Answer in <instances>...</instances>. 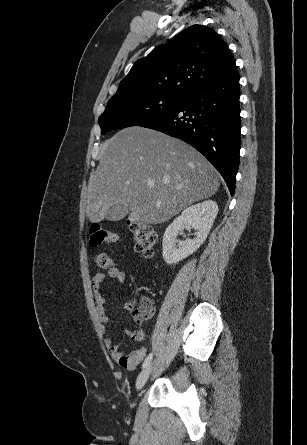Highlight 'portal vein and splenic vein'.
I'll return each mask as SVG.
<instances>
[{"label":"portal vein and splenic vein","instance_id":"portal-vein-and-splenic-vein-1","mask_svg":"<svg viewBox=\"0 0 307 445\" xmlns=\"http://www.w3.org/2000/svg\"><path fill=\"white\" fill-rule=\"evenodd\" d=\"M148 184H154V182H152V180H149ZM177 188H182V186H177Z\"/></svg>","mask_w":307,"mask_h":445}]
</instances>
